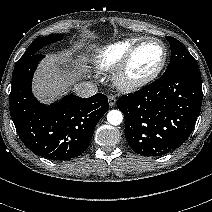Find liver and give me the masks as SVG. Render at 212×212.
<instances>
[{"mask_svg":"<svg viewBox=\"0 0 212 212\" xmlns=\"http://www.w3.org/2000/svg\"><path fill=\"white\" fill-rule=\"evenodd\" d=\"M67 60H59V57L51 56L43 61L37 70L33 89L35 96L44 103H49L65 95L68 92V86L75 84L84 74L87 57L82 56L79 62L75 61L69 54H66ZM69 57V58H68ZM76 67L72 71L71 66Z\"/></svg>","mask_w":212,"mask_h":212,"instance_id":"liver-1","label":"liver"}]
</instances>
